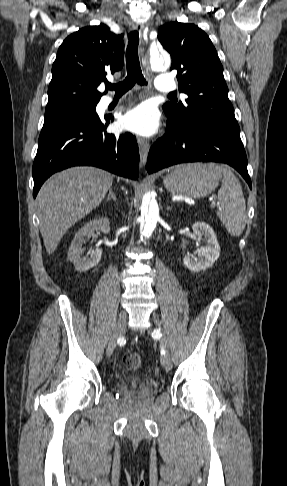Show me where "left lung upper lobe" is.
Returning a JSON list of instances; mask_svg holds the SVG:
<instances>
[{"label":"left lung upper lobe","instance_id":"1","mask_svg":"<svg viewBox=\"0 0 287 486\" xmlns=\"http://www.w3.org/2000/svg\"><path fill=\"white\" fill-rule=\"evenodd\" d=\"M158 39L171 54V70H178L179 91L188 95L184 103L164 104L166 115L180 124L203 122L240 133L223 67L208 35L194 24L176 21L162 25Z\"/></svg>","mask_w":287,"mask_h":486}]
</instances>
